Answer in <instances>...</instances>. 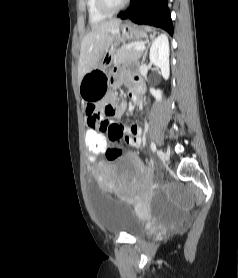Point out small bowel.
<instances>
[{
	"label": "small bowel",
	"mask_w": 238,
	"mask_h": 278,
	"mask_svg": "<svg viewBox=\"0 0 238 278\" xmlns=\"http://www.w3.org/2000/svg\"><path fill=\"white\" fill-rule=\"evenodd\" d=\"M123 80H128L132 84L130 94L133 101L137 107H142L143 88L139 78L137 76H129L125 73H116L113 84L118 85ZM126 109L127 105L125 102L115 103L112 98L104 104L89 103L86 106L88 130H96L99 133V137H105L107 144H115L116 140H120L123 144L126 143L133 148H139L142 145V130L138 125L133 124L125 127L107 119L112 116H122ZM106 113L113 114L108 116ZM136 164L138 170L143 168L140 160L136 159Z\"/></svg>",
	"instance_id": "small-bowel-1"
}]
</instances>
